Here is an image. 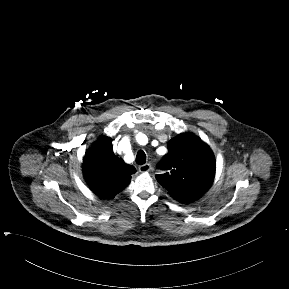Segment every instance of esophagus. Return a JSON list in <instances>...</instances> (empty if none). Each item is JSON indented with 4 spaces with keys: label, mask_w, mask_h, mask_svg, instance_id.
<instances>
[{
    "label": "esophagus",
    "mask_w": 289,
    "mask_h": 289,
    "mask_svg": "<svg viewBox=\"0 0 289 289\" xmlns=\"http://www.w3.org/2000/svg\"><path fill=\"white\" fill-rule=\"evenodd\" d=\"M152 167L149 163L143 164L139 166V171L142 173H147L151 171Z\"/></svg>",
    "instance_id": "1"
}]
</instances>
